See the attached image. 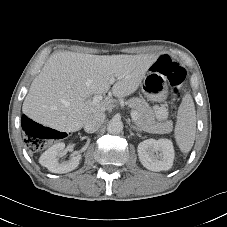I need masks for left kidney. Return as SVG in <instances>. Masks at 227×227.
Segmentation results:
<instances>
[{"instance_id":"obj_1","label":"left kidney","mask_w":227,"mask_h":227,"mask_svg":"<svg viewBox=\"0 0 227 227\" xmlns=\"http://www.w3.org/2000/svg\"><path fill=\"white\" fill-rule=\"evenodd\" d=\"M142 165L151 171H166L172 168L174 148L168 139H147L138 145Z\"/></svg>"}]
</instances>
